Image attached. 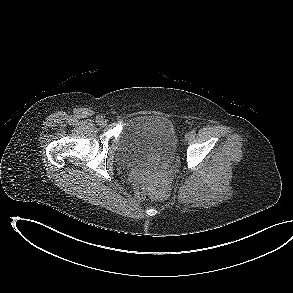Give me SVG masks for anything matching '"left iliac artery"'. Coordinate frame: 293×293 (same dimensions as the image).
Wrapping results in <instances>:
<instances>
[{"instance_id": "left-iliac-artery-1", "label": "left iliac artery", "mask_w": 293, "mask_h": 293, "mask_svg": "<svg viewBox=\"0 0 293 293\" xmlns=\"http://www.w3.org/2000/svg\"><path fill=\"white\" fill-rule=\"evenodd\" d=\"M190 134L191 136H194L196 134V130L195 129L191 130Z\"/></svg>"}]
</instances>
